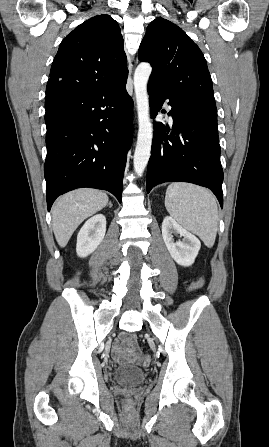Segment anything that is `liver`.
Returning a JSON list of instances; mask_svg holds the SVG:
<instances>
[{
    "label": "liver",
    "mask_w": 269,
    "mask_h": 447,
    "mask_svg": "<svg viewBox=\"0 0 269 447\" xmlns=\"http://www.w3.org/2000/svg\"><path fill=\"white\" fill-rule=\"evenodd\" d=\"M108 202L107 194L90 188L73 190L61 196L52 208L53 231L59 245L65 247L76 227L86 218L100 212Z\"/></svg>",
    "instance_id": "obj_1"
}]
</instances>
